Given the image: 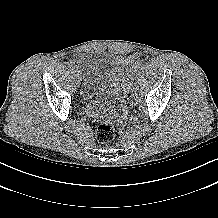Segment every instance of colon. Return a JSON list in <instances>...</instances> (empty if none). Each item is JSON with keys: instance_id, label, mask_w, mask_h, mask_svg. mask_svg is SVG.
I'll return each instance as SVG.
<instances>
[{"instance_id": "obj_1", "label": "colon", "mask_w": 218, "mask_h": 218, "mask_svg": "<svg viewBox=\"0 0 218 218\" xmlns=\"http://www.w3.org/2000/svg\"><path fill=\"white\" fill-rule=\"evenodd\" d=\"M114 138V128L108 121H101L97 125L96 139L100 144H107Z\"/></svg>"}]
</instances>
